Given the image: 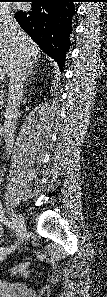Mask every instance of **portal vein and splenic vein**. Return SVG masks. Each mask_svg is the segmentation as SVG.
Segmentation results:
<instances>
[{"instance_id":"18ae733b","label":"portal vein and splenic vein","mask_w":107,"mask_h":297,"mask_svg":"<svg viewBox=\"0 0 107 297\" xmlns=\"http://www.w3.org/2000/svg\"><path fill=\"white\" fill-rule=\"evenodd\" d=\"M4 77H5V76H1V75H0V80H3V79H4Z\"/></svg>"}]
</instances>
